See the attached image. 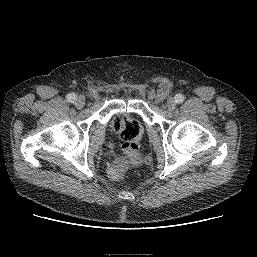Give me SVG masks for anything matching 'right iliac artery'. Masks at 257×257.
I'll list each match as a JSON object with an SVG mask.
<instances>
[{"label":"right iliac artery","instance_id":"right-iliac-artery-1","mask_svg":"<svg viewBox=\"0 0 257 257\" xmlns=\"http://www.w3.org/2000/svg\"><path fill=\"white\" fill-rule=\"evenodd\" d=\"M67 100L71 103H74V101L76 100V95L74 93H70L67 95Z\"/></svg>","mask_w":257,"mask_h":257}]
</instances>
